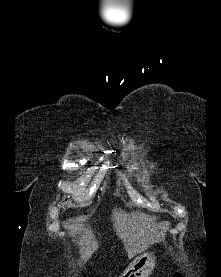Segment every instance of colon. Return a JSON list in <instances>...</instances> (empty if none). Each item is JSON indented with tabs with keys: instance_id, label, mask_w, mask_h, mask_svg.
I'll return each instance as SVG.
<instances>
[{
	"instance_id": "5ec220e1",
	"label": "colon",
	"mask_w": 221,
	"mask_h": 277,
	"mask_svg": "<svg viewBox=\"0 0 221 277\" xmlns=\"http://www.w3.org/2000/svg\"><path fill=\"white\" fill-rule=\"evenodd\" d=\"M173 277H181V275L177 273Z\"/></svg>"
}]
</instances>
